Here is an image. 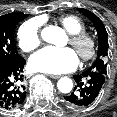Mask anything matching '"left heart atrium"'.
I'll return each mask as SVG.
<instances>
[{
  "instance_id": "obj_1",
  "label": "left heart atrium",
  "mask_w": 117,
  "mask_h": 117,
  "mask_svg": "<svg viewBox=\"0 0 117 117\" xmlns=\"http://www.w3.org/2000/svg\"><path fill=\"white\" fill-rule=\"evenodd\" d=\"M31 69L49 74H59L74 70L78 65L76 52L68 47L48 46L30 57Z\"/></svg>"
}]
</instances>
